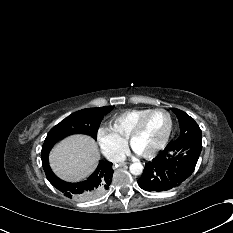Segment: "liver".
<instances>
[{
	"mask_svg": "<svg viewBox=\"0 0 233 233\" xmlns=\"http://www.w3.org/2000/svg\"><path fill=\"white\" fill-rule=\"evenodd\" d=\"M100 158L95 141L86 135H72L59 142L49 161L54 173L63 180L77 182L94 171Z\"/></svg>",
	"mask_w": 233,
	"mask_h": 233,
	"instance_id": "liver-1",
	"label": "liver"
}]
</instances>
